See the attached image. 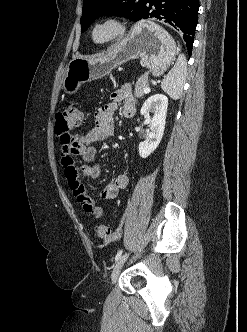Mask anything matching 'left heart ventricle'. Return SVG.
I'll return each instance as SVG.
<instances>
[{
  "mask_svg": "<svg viewBox=\"0 0 247 332\" xmlns=\"http://www.w3.org/2000/svg\"><path fill=\"white\" fill-rule=\"evenodd\" d=\"M113 33V29L110 26H103L97 29L95 37L97 40H104L110 37Z\"/></svg>",
  "mask_w": 247,
  "mask_h": 332,
  "instance_id": "b2bd125f",
  "label": "left heart ventricle"
}]
</instances>
